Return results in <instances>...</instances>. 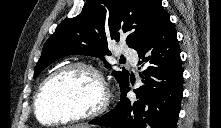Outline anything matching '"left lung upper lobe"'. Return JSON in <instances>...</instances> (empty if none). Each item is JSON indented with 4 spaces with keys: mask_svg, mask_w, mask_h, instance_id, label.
Wrapping results in <instances>:
<instances>
[{
    "mask_svg": "<svg viewBox=\"0 0 221 128\" xmlns=\"http://www.w3.org/2000/svg\"><path fill=\"white\" fill-rule=\"evenodd\" d=\"M166 15L161 0H87L78 16L63 20L48 38L34 78L66 55L104 59L103 55L109 54L107 43L111 40H125L130 48L137 50ZM112 74L121 89L129 81L125 69Z\"/></svg>",
    "mask_w": 221,
    "mask_h": 128,
    "instance_id": "obj_1",
    "label": "left lung upper lobe"
}]
</instances>
